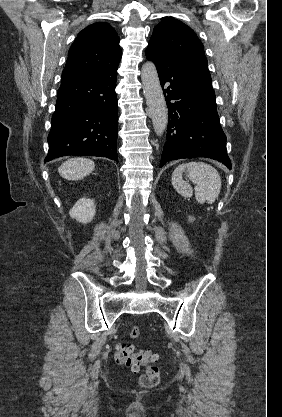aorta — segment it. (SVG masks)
Segmentation results:
<instances>
[{
  "instance_id": "762f6f07",
  "label": "aorta",
  "mask_w": 282,
  "mask_h": 417,
  "mask_svg": "<svg viewBox=\"0 0 282 417\" xmlns=\"http://www.w3.org/2000/svg\"><path fill=\"white\" fill-rule=\"evenodd\" d=\"M141 80L154 130L160 136L167 126L168 108L154 62H144L141 68Z\"/></svg>"
}]
</instances>
